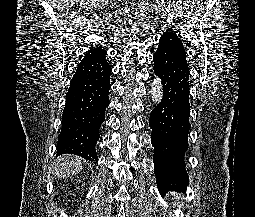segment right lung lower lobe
I'll return each mask as SVG.
<instances>
[{"mask_svg":"<svg viewBox=\"0 0 255 217\" xmlns=\"http://www.w3.org/2000/svg\"><path fill=\"white\" fill-rule=\"evenodd\" d=\"M106 59L79 63L66 94L57 154H75L97 161L95 150L99 128L109 104V76Z\"/></svg>","mask_w":255,"mask_h":217,"instance_id":"right-lung-lower-lobe-1","label":"right lung lower lobe"}]
</instances>
